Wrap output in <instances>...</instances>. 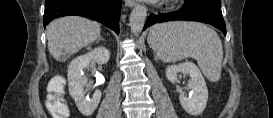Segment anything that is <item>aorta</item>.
Returning <instances> with one entry per match:
<instances>
[{
    "label": "aorta",
    "mask_w": 273,
    "mask_h": 118,
    "mask_svg": "<svg viewBox=\"0 0 273 118\" xmlns=\"http://www.w3.org/2000/svg\"><path fill=\"white\" fill-rule=\"evenodd\" d=\"M147 9L144 5H136L132 10L129 18L131 31L138 36L145 24Z\"/></svg>",
    "instance_id": "1"
}]
</instances>
